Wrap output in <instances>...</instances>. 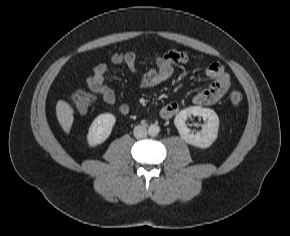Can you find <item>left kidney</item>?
<instances>
[{
  "instance_id": "5707ae66",
  "label": "left kidney",
  "mask_w": 290,
  "mask_h": 236,
  "mask_svg": "<svg viewBox=\"0 0 290 236\" xmlns=\"http://www.w3.org/2000/svg\"><path fill=\"white\" fill-rule=\"evenodd\" d=\"M191 115L201 116L205 123L201 132L193 133L186 125L185 121ZM174 124L178 129L181 138L190 145L199 148H208L217 139L219 118L214 110L192 106L181 110L174 119Z\"/></svg>"
}]
</instances>
